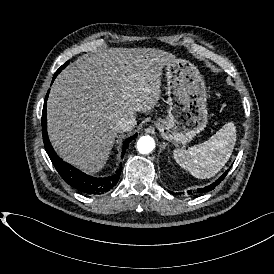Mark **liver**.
I'll return each instance as SVG.
<instances>
[{
	"mask_svg": "<svg viewBox=\"0 0 274 274\" xmlns=\"http://www.w3.org/2000/svg\"><path fill=\"white\" fill-rule=\"evenodd\" d=\"M174 58L155 48H108L70 63L47 101V131L58 155L86 174L99 172L117 137L116 121L157 105L162 69Z\"/></svg>",
	"mask_w": 274,
	"mask_h": 274,
	"instance_id": "1",
	"label": "liver"
}]
</instances>
